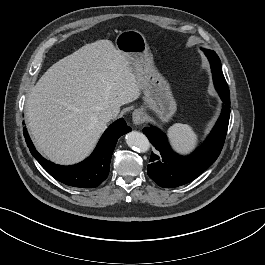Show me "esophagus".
I'll return each instance as SVG.
<instances>
[{"label": "esophagus", "instance_id": "1", "mask_svg": "<svg viewBox=\"0 0 265 265\" xmlns=\"http://www.w3.org/2000/svg\"><path fill=\"white\" fill-rule=\"evenodd\" d=\"M144 120V113L137 109L132 113V121L135 125H139L143 122Z\"/></svg>", "mask_w": 265, "mask_h": 265}]
</instances>
